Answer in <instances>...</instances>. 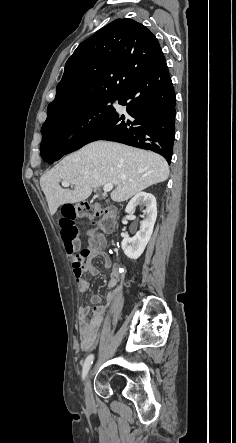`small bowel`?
Returning <instances> with one entry per match:
<instances>
[{"instance_id":"small-bowel-1","label":"small bowel","mask_w":236,"mask_h":443,"mask_svg":"<svg viewBox=\"0 0 236 443\" xmlns=\"http://www.w3.org/2000/svg\"><path fill=\"white\" fill-rule=\"evenodd\" d=\"M105 239L102 233L97 229L89 231L88 248L89 255L83 263L82 269H74L73 274L76 278L78 290L85 293L89 290V283L83 274L88 273L91 276H98L100 270L93 264L94 258H101L104 266L110 271V279L107 282V288L112 289L106 296L107 306L113 304L121 292L122 282L126 275V269L122 264L112 263L110 257L104 251ZM103 298L99 295H92L89 298V305L82 306L79 310V338L80 349L88 351L93 348L98 340L105 307L102 305Z\"/></svg>"}]
</instances>
